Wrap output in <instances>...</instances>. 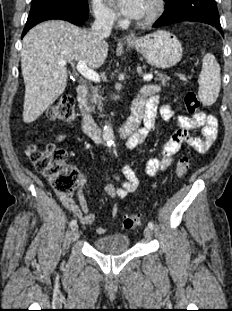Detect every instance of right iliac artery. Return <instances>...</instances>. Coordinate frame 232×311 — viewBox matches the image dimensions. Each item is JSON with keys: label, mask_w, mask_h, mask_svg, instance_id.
<instances>
[{"label": "right iliac artery", "mask_w": 232, "mask_h": 311, "mask_svg": "<svg viewBox=\"0 0 232 311\" xmlns=\"http://www.w3.org/2000/svg\"><path fill=\"white\" fill-rule=\"evenodd\" d=\"M77 225V221L76 220H72L71 222H70V224H69V226L72 228V227H74V226H76Z\"/></svg>", "instance_id": "82829eb1"}]
</instances>
